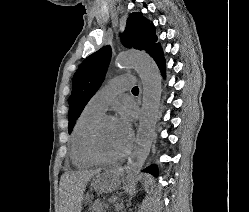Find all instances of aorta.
<instances>
[{
	"mask_svg": "<svg viewBox=\"0 0 249 212\" xmlns=\"http://www.w3.org/2000/svg\"><path fill=\"white\" fill-rule=\"evenodd\" d=\"M116 64L119 67H134L143 85V102L136 146L126 166V180L130 185L134 183L136 175L143 167L155 135L162 92L161 74L155 61L146 53L139 51L118 55Z\"/></svg>",
	"mask_w": 249,
	"mask_h": 212,
	"instance_id": "1",
	"label": "aorta"
}]
</instances>
